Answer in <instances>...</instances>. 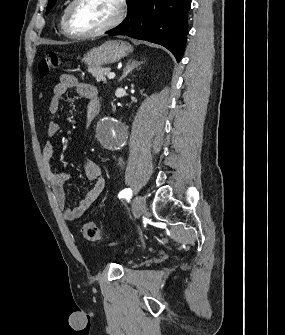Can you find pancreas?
<instances>
[{
    "instance_id": "obj_1",
    "label": "pancreas",
    "mask_w": 285,
    "mask_h": 335,
    "mask_svg": "<svg viewBox=\"0 0 285 335\" xmlns=\"http://www.w3.org/2000/svg\"><path fill=\"white\" fill-rule=\"evenodd\" d=\"M88 70L96 78L97 82H104L106 84L107 80L105 76L107 72H110L111 68H92V66H89Z\"/></svg>"
}]
</instances>
